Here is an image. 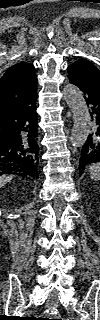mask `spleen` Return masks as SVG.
Instances as JSON below:
<instances>
[{"instance_id":"1","label":"spleen","mask_w":100,"mask_h":320,"mask_svg":"<svg viewBox=\"0 0 100 320\" xmlns=\"http://www.w3.org/2000/svg\"><path fill=\"white\" fill-rule=\"evenodd\" d=\"M89 172L91 175V179L98 181L100 179V164L94 163L89 166Z\"/></svg>"}]
</instances>
